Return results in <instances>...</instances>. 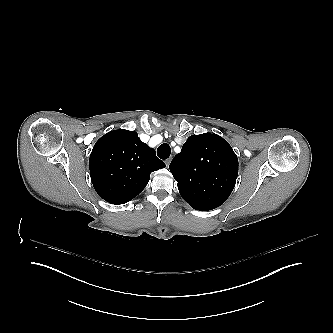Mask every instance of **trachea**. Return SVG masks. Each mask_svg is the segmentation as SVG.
Masks as SVG:
<instances>
[{
  "instance_id": "obj_1",
  "label": "trachea",
  "mask_w": 333,
  "mask_h": 333,
  "mask_svg": "<svg viewBox=\"0 0 333 333\" xmlns=\"http://www.w3.org/2000/svg\"><path fill=\"white\" fill-rule=\"evenodd\" d=\"M171 149L167 143L161 144L157 149V155L159 158L165 160L170 156Z\"/></svg>"
}]
</instances>
